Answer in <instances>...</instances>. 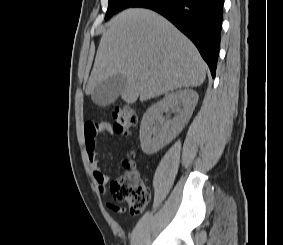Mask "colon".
<instances>
[{
	"mask_svg": "<svg viewBox=\"0 0 283 245\" xmlns=\"http://www.w3.org/2000/svg\"><path fill=\"white\" fill-rule=\"evenodd\" d=\"M112 115L117 133L127 135L137 124V112L130 104L117 106ZM123 166L126 171L111 183V193L117 201L126 202L131 212L140 213L149 200V190L135 172L131 159H125Z\"/></svg>",
	"mask_w": 283,
	"mask_h": 245,
	"instance_id": "1",
	"label": "colon"
}]
</instances>
